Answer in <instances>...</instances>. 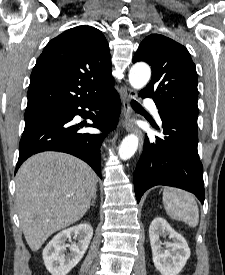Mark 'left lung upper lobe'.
Listing matches in <instances>:
<instances>
[{"label": "left lung upper lobe", "instance_id": "1", "mask_svg": "<svg viewBox=\"0 0 225 275\" xmlns=\"http://www.w3.org/2000/svg\"><path fill=\"white\" fill-rule=\"evenodd\" d=\"M137 61L152 68L151 81L139 95L152 97L159 112L197 122V72L187 49L166 36L152 34L141 42L133 58V63Z\"/></svg>", "mask_w": 225, "mask_h": 275}]
</instances>
